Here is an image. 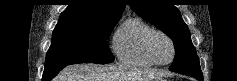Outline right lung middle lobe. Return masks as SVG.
<instances>
[{"mask_svg": "<svg viewBox=\"0 0 237 81\" xmlns=\"http://www.w3.org/2000/svg\"><path fill=\"white\" fill-rule=\"evenodd\" d=\"M117 22L59 19L46 55L45 68L75 63L113 62L107 40Z\"/></svg>", "mask_w": 237, "mask_h": 81, "instance_id": "dd1d6c3e", "label": "right lung middle lobe"}]
</instances>
